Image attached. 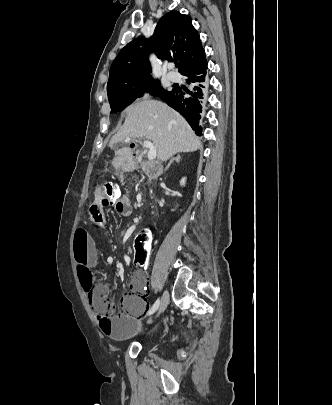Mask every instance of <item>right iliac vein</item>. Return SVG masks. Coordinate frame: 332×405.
I'll return each mask as SVG.
<instances>
[{"label":"right iliac vein","mask_w":332,"mask_h":405,"mask_svg":"<svg viewBox=\"0 0 332 405\" xmlns=\"http://www.w3.org/2000/svg\"><path fill=\"white\" fill-rule=\"evenodd\" d=\"M168 303H169V293L166 290L161 296L160 305L156 316H159L163 311H165V309L168 306Z\"/></svg>","instance_id":"obj_1"}]
</instances>
